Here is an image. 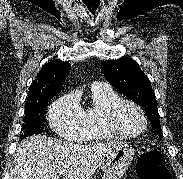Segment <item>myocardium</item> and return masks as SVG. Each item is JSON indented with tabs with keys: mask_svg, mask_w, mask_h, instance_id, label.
<instances>
[{
	"mask_svg": "<svg viewBox=\"0 0 183 179\" xmlns=\"http://www.w3.org/2000/svg\"><path fill=\"white\" fill-rule=\"evenodd\" d=\"M124 106H131V107L135 108L142 117V120H143L142 128L136 133L126 134V133L121 132L117 127V124H116L117 116H118L120 110ZM102 124H103L104 129L112 136H114L116 138H122V139H132V138H136V137L142 135L146 131L147 126H148V119H147V116H146L143 108L140 105H138L134 101H131L128 99H119V100L115 101L114 103H112L104 111L103 116H102Z\"/></svg>",
	"mask_w": 183,
	"mask_h": 179,
	"instance_id": "1",
	"label": "myocardium"
}]
</instances>
